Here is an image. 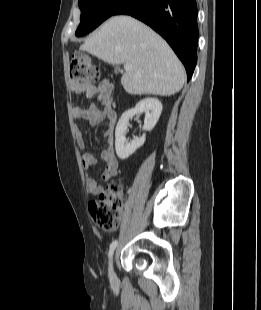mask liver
Returning <instances> with one entry per match:
<instances>
[{"mask_svg": "<svg viewBox=\"0 0 261 310\" xmlns=\"http://www.w3.org/2000/svg\"><path fill=\"white\" fill-rule=\"evenodd\" d=\"M80 50L110 64L131 65L121 84L132 95L171 96L185 83L184 67L166 41L130 16L108 19Z\"/></svg>", "mask_w": 261, "mask_h": 310, "instance_id": "liver-1", "label": "liver"}]
</instances>
